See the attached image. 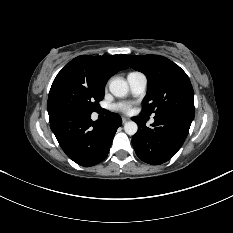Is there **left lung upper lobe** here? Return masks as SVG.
Instances as JSON below:
<instances>
[{
    "label": "left lung upper lobe",
    "instance_id": "left-lung-upper-lobe-1",
    "mask_svg": "<svg viewBox=\"0 0 233 233\" xmlns=\"http://www.w3.org/2000/svg\"><path fill=\"white\" fill-rule=\"evenodd\" d=\"M122 56L133 69L147 77V95L141 114H170L193 120V88L189 77L178 65L159 55Z\"/></svg>",
    "mask_w": 233,
    "mask_h": 233
}]
</instances>
